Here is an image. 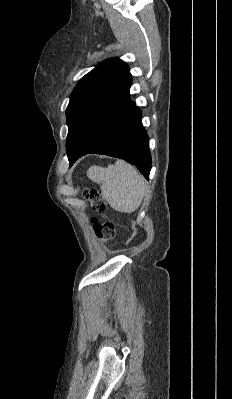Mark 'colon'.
Returning <instances> with one entry per match:
<instances>
[{"instance_id":"5ec220e1","label":"colon","mask_w":232,"mask_h":399,"mask_svg":"<svg viewBox=\"0 0 232 399\" xmlns=\"http://www.w3.org/2000/svg\"><path fill=\"white\" fill-rule=\"evenodd\" d=\"M82 196H86V209H91L92 205L94 211L107 213V194H102V188H97V191H82ZM94 196H97V203H94ZM91 226H94L95 235H102L103 239H106L107 235H117L118 225L112 224L111 217H106V221H101L98 225L96 217H91Z\"/></svg>"}]
</instances>
